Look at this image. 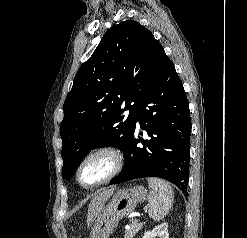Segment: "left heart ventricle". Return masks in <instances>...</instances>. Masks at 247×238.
<instances>
[{
    "label": "left heart ventricle",
    "instance_id": "obj_1",
    "mask_svg": "<svg viewBox=\"0 0 247 238\" xmlns=\"http://www.w3.org/2000/svg\"><path fill=\"white\" fill-rule=\"evenodd\" d=\"M112 162L106 156L90 160L81 170L80 177L85 184H92L104 178L111 170Z\"/></svg>",
    "mask_w": 247,
    "mask_h": 238
}]
</instances>
